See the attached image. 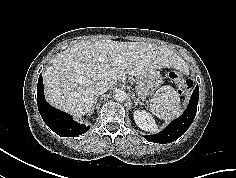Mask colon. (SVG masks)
Wrapping results in <instances>:
<instances>
[{
	"label": "colon",
	"instance_id": "obj_1",
	"mask_svg": "<svg viewBox=\"0 0 236 178\" xmlns=\"http://www.w3.org/2000/svg\"><path fill=\"white\" fill-rule=\"evenodd\" d=\"M170 80L174 81L177 84L178 93L185 95L189 93V91L193 87V82L191 79L186 78L182 73L180 72H170L169 73Z\"/></svg>",
	"mask_w": 236,
	"mask_h": 178
}]
</instances>
